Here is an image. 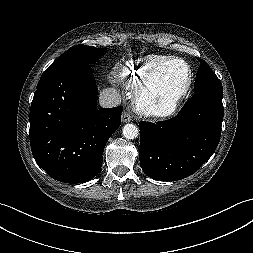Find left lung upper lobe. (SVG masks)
<instances>
[{
  "label": "left lung upper lobe",
  "instance_id": "1",
  "mask_svg": "<svg viewBox=\"0 0 253 253\" xmlns=\"http://www.w3.org/2000/svg\"><path fill=\"white\" fill-rule=\"evenodd\" d=\"M199 61L200 67L196 75L194 92L202 90H214L223 92L221 82L216 74L210 69L204 60L199 59Z\"/></svg>",
  "mask_w": 253,
  "mask_h": 253
}]
</instances>
